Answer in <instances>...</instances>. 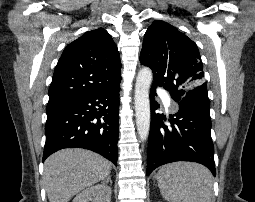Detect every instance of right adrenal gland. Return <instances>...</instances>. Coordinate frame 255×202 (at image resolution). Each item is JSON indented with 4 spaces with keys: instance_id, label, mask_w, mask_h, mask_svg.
<instances>
[{
    "instance_id": "obj_1",
    "label": "right adrenal gland",
    "mask_w": 255,
    "mask_h": 202,
    "mask_svg": "<svg viewBox=\"0 0 255 202\" xmlns=\"http://www.w3.org/2000/svg\"><path fill=\"white\" fill-rule=\"evenodd\" d=\"M103 183H104V184L110 183V185H112L111 176L109 175L106 179H104Z\"/></svg>"
}]
</instances>
